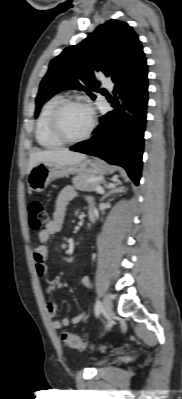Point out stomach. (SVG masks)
I'll return each mask as SVG.
<instances>
[{
	"instance_id": "stomach-1",
	"label": "stomach",
	"mask_w": 182,
	"mask_h": 399,
	"mask_svg": "<svg viewBox=\"0 0 182 399\" xmlns=\"http://www.w3.org/2000/svg\"><path fill=\"white\" fill-rule=\"evenodd\" d=\"M107 172L106 165L99 159H84L75 165H64L55 162L36 164L28 173L27 183L34 192H42L57 178L68 177L71 174L103 176Z\"/></svg>"
}]
</instances>
